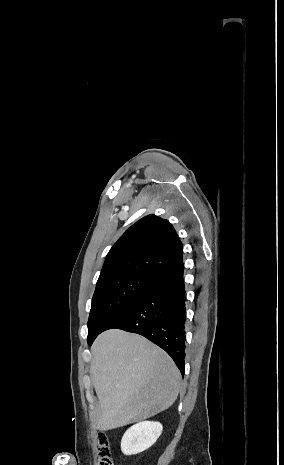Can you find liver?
<instances>
[{
  "label": "liver",
  "mask_w": 284,
  "mask_h": 465,
  "mask_svg": "<svg viewBox=\"0 0 284 465\" xmlns=\"http://www.w3.org/2000/svg\"><path fill=\"white\" fill-rule=\"evenodd\" d=\"M91 375L100 415L95 429L139 423L175 403L181 375L162 349L133 333L105 331L91 347Z\"/></svg>",
  "instance_id": "1"
}]
</instances>
